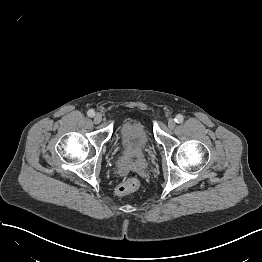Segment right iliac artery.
<instances>
[{
	"instance_id": "82829eb1",
	"label": "right iliac artery",
	"mask_w": 262,
	"mask_h": 262,
	"mask_svg": "<svg viewBox=\"0 0 262 262\" xmlns=\"http://www.w3.org/2000/svg\"><path fill=\"white\" fill-rule=\"evenodd\" d=\"M87 115H88L89 117H93V116L95 115L94 110L90 109V110L87 112Z\"/></svg>"
}]
</instances>
